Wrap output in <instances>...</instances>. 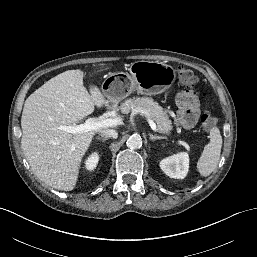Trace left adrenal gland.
I'll return each mask as SVG.
<instances>
[{
    "label": "left adrenal gland",
    "instance_id": "obj_1",
    "mask_svg": "<svg viewBox=\"0 0 257 257\" xmlns=\"http://www.w3.org/2000/svg\"><path fill=\"white\" fill-rule=\"evenodd\" d=\"M149 137H150L151 141L160 140V139H166V137H164V136L152 135L150 133H149Z\"/></svg>",
    "mask_w": 257,
    "mask_h": 257
}]
</instances>
